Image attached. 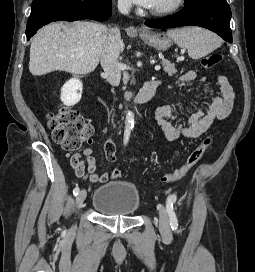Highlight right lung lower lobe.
Returning a JSON list of instances; mask_svg holds the SVG:
<instances>
[{"label": "right lung lower lobe", "instance_id": "1", "mask_svg": "<svg viewBox=\"0 0 255 272\" xmlns=\"http://www.w3.org/2000/svg\"><path fill=\"white\" fill-rule=\"evenodd\" d=\"M111 8V0H33L26 26L27 40L39 28L54 21L108 20Z\"/></svg>", "mask_w": 255, "mask_h": 272}]
</instances>
